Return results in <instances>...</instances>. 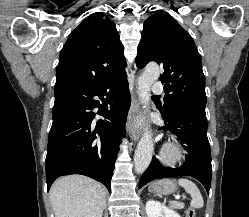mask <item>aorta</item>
<instances>
[{
  "mask_svg": "<svg viewBox=\"0 0 249 217\" xmlns=\"http://www.w3.org/2000/svg\"><path fill=\"white\" fill-rule=\"evenodd\" d=\"M159 74V66L156 63H150L145 67L144 72L138 79L139 98L144 108L149 105L150 89L152 84L158 79ZM153 150L152 135L146 128L134 155L135 171L138 174H142L148 168L152 160Z\"/></svg>",
  "mask_w": 249,
  "mask_h": 217,
  "instance_id": "762f6f07",
  "label": "aorta"
}]
</instances>
